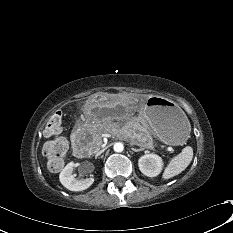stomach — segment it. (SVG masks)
I'll return each instance as SVG.
<instances>
[{
	"mask_svg": "<svg viewBox=\"0 0 233 233\" xmlns=\"http://www.w3.org/2000/svg\"><path fill=\"white\" fill-rule=\"evenodd\" d=\"M140 107V100L128 93L102 94L92 96L85 106L87 117L96 122L106 119L120 121L129 118ZM142 117L148 124L150 132L168 145L184 143L190 132L187 116L171 100L152 96L144 106Z\"/></svg>",
	"mask_w": 233,
	"mask_h": 233,
	"instance_id": "stomach-1",
	"label": "stomach"
}]
</instances>
